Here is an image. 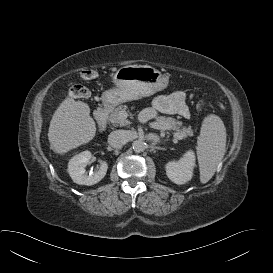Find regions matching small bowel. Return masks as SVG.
I'll list each match as a JSON object with an SVG mask.
<instances>
[{
	"instance_id": "small-bowel-1",
	"label": "small bowel",
	"mask_w": 273,
	"mask_h": 273,
	"mask_svg": "<svg viewBox=\"0 0 273 273\" xmlns=\"http://www.w3.org/2000/svg\"><path fill=\"white\" fill-rule=\"evenodd\" d=\"M152 105L155 112L178 115L183 118H188L190 115L186 94L182 91L157 96Z\"/></svg>"
}]
</instances>
